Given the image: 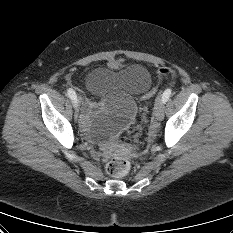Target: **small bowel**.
I'll list each match as a JSON object with an SVG mask.
<instances>
[{"instance_id": "1", "label": "small bowel", "mask_w": 233, "mask_h": 233, "mask_svg": "<svg viewBox=\"0 0 233 233\" xmlns=\"http://www.w3.org/2000/svg\"><path fill=\"white\" fill-rule=\"evenodd\" d=\"M93 110V103L88 102L85 105V114H84V120H86L89 116V114L91 113V111Z\"/></svg>"}]
</instances>
